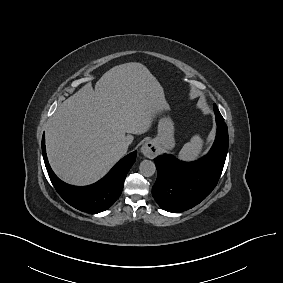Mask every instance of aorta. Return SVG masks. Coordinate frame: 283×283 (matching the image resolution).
Instances as JSON below:
<instances>
[{
	"label": "aorta",
	"instance_id": "aorta-1",
	"mask_svg": "<svg viewBox=\"0 0 283 283\" xmlns=\"http://www.w3.org/2000/svg\"><path fill=\"white\" fill-rule=\"evenodd\" d=\"M140 173L145 177H151L156 171L155 164L150 160H143L139 166Z\"/></svg>",
	"mask_w": 283,
	"mask_h": 283
}]
</instances>
